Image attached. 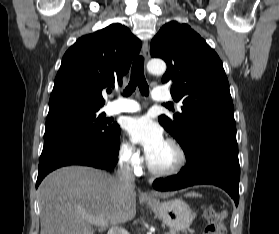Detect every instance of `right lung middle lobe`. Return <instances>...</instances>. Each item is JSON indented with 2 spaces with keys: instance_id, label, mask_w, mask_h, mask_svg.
<instances>
[{
  "instance_id": "obj_1",
  "label": "right lung middle lobe",
  "mask_w": 279,
  "mask_h": 234,
  "mask_svg": "<svg viewBox=\"0 0 279 234\" xmlns=\"http://www.w3.org/2000/svg\"><path fill=\"white\" fill-rule=\"evenodd\" d=\"M101 109L83 106H65L49 110L44 141L67 134H80L107 146L119 132V125H109Z\"/></svg>"
}]
</instances>
